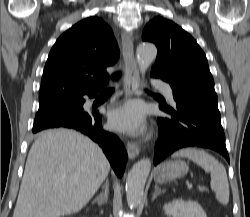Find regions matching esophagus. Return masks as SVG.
Listing matches in <instances>:
<instances>
[{
    "instance_id": "esophagus-1",
    "label": "esophagus",
    "mask_w": 250,
    "mask_h": 217,
    "mask_svg": "<svg viewBox=\"0 0 250 217\" xmlns=\"http://www.w3.org/2000/svg\"><path fill=\"white\" fill-rule=\"evenodd\" d=\"M123 57L125 61L126 73L124 78L125 98L132 97L137 91L139 81V72L134 56L133 38L131 35L122 33ZM127 153L130 159H135L140 148L136 142L128 141L126 145Z\"/></svg>"
}]
</instances>
